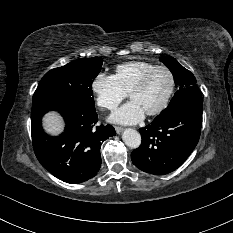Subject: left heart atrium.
I'll use <instances>...</instances> for the list:
<instances>
[{
    "instance_id": "left-heart-atrium-1",
    "label": "left heart atrium",
    "mask_w": 233,
    "mask_h": 233,
    "mask_svg": "<svg viewBox=\"0 0 233 233\" xmlns=\"http://www.w3.org/2000/svg\"><path fill=\"white\" fill-rule=\"evenodd\" d=\"M145 116L144 110L133 100L116 109L110 120L116 123L131 125L140 122Z\"/></svg>"
}]
</instances>
